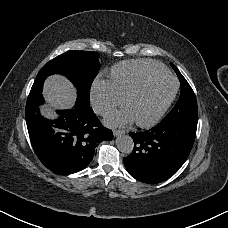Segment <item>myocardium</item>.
Returning <instances> with one entry per match:
<instances>
[{
    "label": "myocardium",
    "mask_w": 228,
    "mask_h": 228,
    "mask_svg": "<svg viewBox=\"0 0 228 228\" xmlns=\"http://www.w3.org/2000/svg\"><path fill=\"white\" fill-rule=\"evenodd\" d=\"M158 79H170V80H172V82L174 84L173 89H172L170 95L168 96V98L165 100V102L159 108V110L157 111V113L149 121L142 122V121L137 120V124L140 127H143V128H151V127L155 126L159 122V120L162 118V116L164 115V113L166 112V110L168 109V107L170 106L172 100L175 97L176 91L178 89V81H177V79L174 76H172L170 74H158V75H154V76L148 77L145 80H143L126 97L125 104H126V106H129L130 102L135 97H137L138 95H140L151 83H153L154 81H156Z\"/></svg>",
    "instance_id": "obj_1"
}]
</instances>
